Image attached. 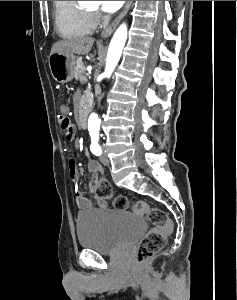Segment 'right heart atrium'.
I'll use <instances>...</instances> for the list:
<instances>
[{"label": "right heart atrium", "instance_id": "1", "mask_svg": "<svg viewBox=\"0 0 237 300\" xmlns=\"http://www.w3.org/2000/svg\"><path fill=\"white\" fill-rule=\"evenodd\" d=\"M97 22V19H94V23H96Z\"/></svg>", "mask_w": 237, "mask_h": 300}]
</instances>
